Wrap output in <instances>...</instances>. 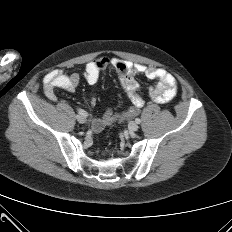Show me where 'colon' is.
<instances>
[{"instance_id": "colon-1", "label": "colon", "mask_w": 232, "mask_h": 232, "mask_svg": "<svg viewBox=\"0 0 232 232\" xmlns=\"http://www.w3.org/2000/svg\"><path fill=\"white\" fill-rule=\"evenodd\" d=\"M135 99H132L129 104L127 105L126 109H124V111L121 112V114L118 115L117 118V127L118 128H123L124 127V121L128 120V116H133L134 115V106L138 103L141 104L143 103V98L142 95L139 93H136L134 96Z\"/></svg>"}]
</instances>
